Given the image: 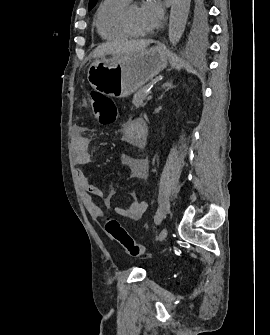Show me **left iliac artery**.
Listing matches in <instances>:
<instances>
[{
    "label": "left iliac artery",
    "instance_id": "1",
    "mask_svg": "<svg viewBox=\"0 0 270 335\" xmlns=\"http://www.w3.org/2000/svg\"><path fill=\"white\" fill-rule=\"evenodd\" d=\"M162 216L161 215H157L155 218H154V221L155 223L158 225L162 222Z\"/></svg>",
    "mask_w": 270,
    "mask_h": 335
}]
</instances>
